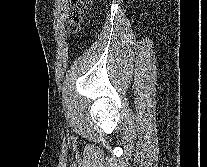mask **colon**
<instances>
[{"label":"colon","mask_w":207,"mask_h":167,"mask_svg":"<svg viewBox=\"0 0 207 167\" xmlns=\"http://www.w3.org/2000/svg\"><path fill=\"white\" fill-rule=\"evenodd\" d=\"M91 0H72L69 8V20L73 32H77L79 25L85 18Z\"/></svg>","instance_id":"colon-1"}]
</instances>
